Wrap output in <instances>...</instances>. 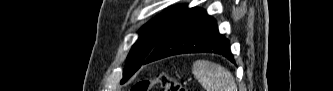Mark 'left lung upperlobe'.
Instances as JSON below:
<instances>
[{
	"label": "left lung upper lobe",
	"mask_w": 333,
	"mask_h": 91,
	"mask_svg": "<svg viewBox=\"0 0 333 91\" xmlns=\"http://www.w3.org/2000/svg\"><path fill=\"white\" fill-rule=\"evenodd\" d=\"M188 10L186 5L172 7L142 27L138 42L132 47L127 56L121 83L127 81L141 67L162 37Z\"/></svg>",
	"instance_id": "obj_1"
}]
</instances>
